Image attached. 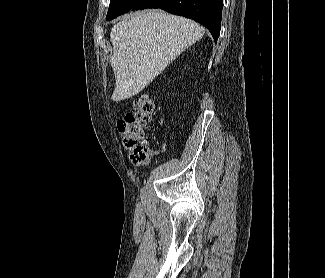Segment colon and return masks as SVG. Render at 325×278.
Wrapping results in <instances>:
<instances>
[{
  "label": "colon",
  "mask_w": 325,
  "mask_h": 278,
  "mask_svg": "<svg viewBox=\"0 0 325 278\" xmlns=\"http://www.w3.org/2000/svg\"><path fill=\"white\" fill-rule=\"evenodd\" d=\"M154 110L153 99L147 95H140L132 101L130 112L118 122V131L124 146L129 150V159L136 166L144 165L150 156V149L144 140Z\"/></svg>",
  "instance_id": "1"
}]
</instances>
